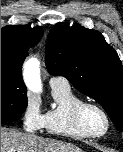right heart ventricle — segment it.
<instances>
[{
  "mask_svg": "<svg viewBox=\"0 0 123 152\" xmlns=\"http://www.w3.org/2000/svg\"><path fill=\"white\" fill-rule=\"evenodd\" d=\"M55 106L43 114V129L52 136L71 139H84L74 124L73 109L82 100L71 90L70 86L52 87Z\"/></svg>",
  "mask_w": 123,
  "mask_h": 152,
  "instance_id": "right-heart-ventricle-1",
  "label": "right heart ventricle"
}]
</instances>
